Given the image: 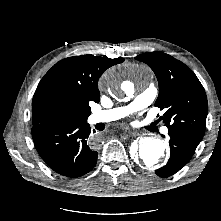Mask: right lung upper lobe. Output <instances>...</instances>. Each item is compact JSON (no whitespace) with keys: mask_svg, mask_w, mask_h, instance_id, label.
<instances>
[{"mask_svg":"<svg viewBox=\"0 0 221 221\" xmlns=\"http://www.w3.org/2000/svg\"><path fill=\"white\" fill-rule=\"evenodd\" d=\"M124 59L93 55L65 58L57 62L40 81L32 100V124L58 122L47 111L53 101H63L72 107L75 120H86L90 102L98 103V80L109 67ZM74 120V121H75Z\"/></svg>","mask_w":221,"mask_h":221,"instance_id":"cb5924a9","label":"right lung upper lobe"}]
</instances>
